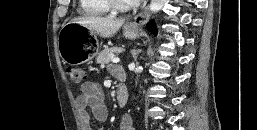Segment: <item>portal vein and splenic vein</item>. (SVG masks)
Listing matches in <instances>:
<instances>
[{
	"instance_id": "18ae733b",
	"label": "portal vein and splenic vein",
	"mask_w": 257,
	"mask_h": 130,
	"mask_svg": "<svg viewBox=\"0 0 257 130\" xmlns=\"http://www.w3.org/2000/svg\"><path fill=\"white\" fill-rule=\"evenodd\" d=\"M113 63H118L120 61L119 58L117 57H113L112 60H111Z\"/></svg>"
}]
</instances>
